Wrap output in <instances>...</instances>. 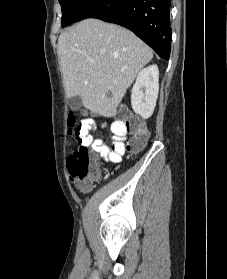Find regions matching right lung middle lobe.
<instances>
[{
  "mask_svg": "<svg viewBox=\"0 0 227 279\" xmlns=\"http://www.w3.org/2000/svg\"><path fill=\"white\" fill-rule=\"evenodd\" d=\"M87 0H59L62 7V26L70 25Z\"/></svg>",
  "mask_w": 227,
  "mask_h": 279,
  "instance_id": "obj_1",
  "label": "right lung middle lobe"
}]
</instances>
